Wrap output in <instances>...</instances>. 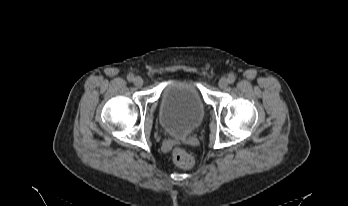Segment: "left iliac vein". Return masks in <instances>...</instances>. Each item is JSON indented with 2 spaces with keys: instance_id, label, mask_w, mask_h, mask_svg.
I'll list each match as a JSON object with an SVG mask.
<instances>
[{
  "instance_id": "4c4485c4",
  "label": "left iliac vein",
  "mask_w": 348,
  "mask_h": 206,
  "mask_svg": "<svg viewBox=\"0 0 348 206\" xmlns=\"http://www.w3.org/2000/svg\"><path fill=\"white\" fill-rule=\"evenodd\" d=\"M218 86L221 89H225L228 86V79L226 77H222L218 82Z\"/></svg>"
}]
</instances>
